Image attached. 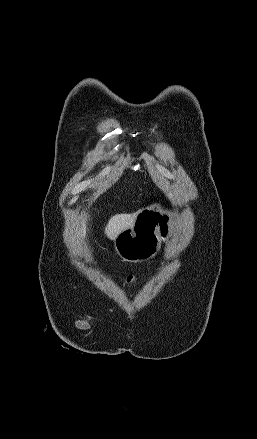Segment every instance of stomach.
<instances>
[{
    "instance_id": "0dacf381",
    "label": "stomach",
    "mask_w": 257,
    "mask_h": 439,
    "mask_svg": "<svg viewBox=\"0 0 257 439\" xmlns=\"http://www.w3.org/2000/svg\"><path fill=\"white\" fill-rule=\"evenodd\" d=\"M176 216V211L165 210L158 203L143 209L133 226L115 238V252L128 262H142L154 257L161 241L170 237Z\"/></svg>"
}]
</instances>
